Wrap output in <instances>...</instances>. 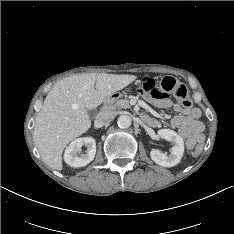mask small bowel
<instances>
[{
  "label": "small bowel",
  "instance_id": "obj_1",
  "mask_svg": "<svg viewBox=\"0 0 234 234\" xmlns=\"http://www.w3.org/2000/svg\"><path fill=\"white\" fill-rule=\"evenodd\" d=\"M145 100L151 102L160 109L172 108L176 115L173 116L169 124L172 128L178 129L179 133L187 139L188 147L191 148L197 142L203 140L204 124L200 121L201 111L196 108H185L174 103L167 97L154 98L146 93H142ZM145 121L152 127L158 126L157 119L145 116Z\"/></svg>",
  "mask_w": 234,
  "mask_h": 234
}]
</instances>
